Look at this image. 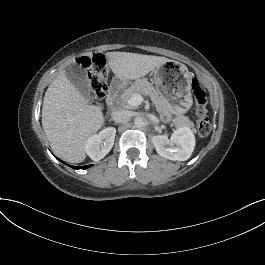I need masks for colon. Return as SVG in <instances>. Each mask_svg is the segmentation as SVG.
<instances>
[{
    "label": "colon",
    "mask_w": 265,
    "mask_h": 265,
    "mask_svg": "<svg viewBox=\"0 0 265 265\" xmlns=\"http://www.w3.org/2000/svg\"><path fill=\"white\" fill-rule=\"evenodd\" d=\"M78 63L90 69V87L97 100L104 99L107 92V65L103 54L98 53L92 57H81ZM191 87L197 106V129L201 136H206L211 132L212 126L207 116V97L206 92L197 77L191 80Z\"/></svg>",
    "instance_id": "1"
}]
</instances>
